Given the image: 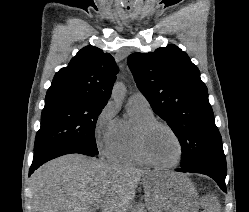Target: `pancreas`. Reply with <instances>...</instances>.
<instances>
[{"instance_id": "1", "label": "pancreas", "mask_w": 249, "mask_h": 212, "mask_svg": "<svg viewBox=\"0 0 249 212\" xmlns=\"http://www.w3.org/2000/svg\"><path fill=\"white\" fill-rule=\"evenodd\" d=\"M136 212H146L144 204H141V206H137Z\"/></svg>"}]
</instances>
